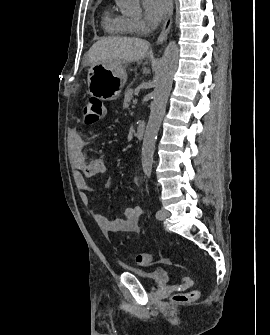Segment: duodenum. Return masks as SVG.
<instances>
[{"label": "duodenum", "instance_id": "1", "mask_svg": "<svg viewBox=\"0 0 270 335\" xmlns=\"http://www.w3.org/2000/svg\"><path fill=\"white\" fill-rule=\"evenodd\" d=\"M145 134V124L144 122L138 123L135 129V136L137 139L142 140Z\"/></svg>", "mask_w": 270, "mask_h": 335}]
</instances>
